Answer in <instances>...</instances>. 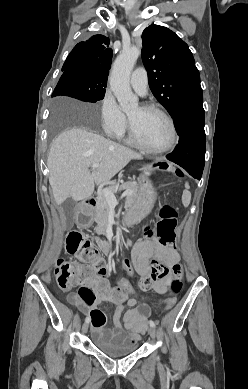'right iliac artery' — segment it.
Instances as JSON below:
<instances>
[{
  "instance_id": "obj_1",
  "label": "right iliac artery",
  "mask_w": 248,
  "mask_h": 389,
  "mask_svg": "<svg viewBox=\"0 0 248 389\" xmlns=\"http://www.w3.org/2000/svg\"><path fill=\"white\" fill-rule=\"evenodd\" d=\"M89 321H90V318L87 317V318L85 319V322L89 323Z\"/></svg>"
}]
</instances>
